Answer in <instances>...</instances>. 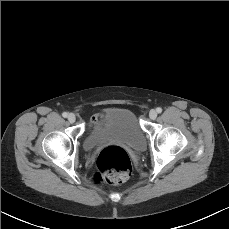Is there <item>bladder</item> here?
Listing matches in <instances>:
<instances>
[{
  "label": "bladder",
  "mask_w": 229,
  "mask_h": 229,
  "mask_svg": "<svg viewBox=\"0 0 229 229\" xmlns=\"http://www.w3.org/2000/svg\"><path fill=\"white\" fill-rule=\"evenodd\" d=\"M108 142H119L136 154L146 150L147 138L132 111L123 108L108 109L103 119L91 125L86 132L84 148L92 150Z\"/></svg>",
  "instance_id": "1"
}]
</instances>
